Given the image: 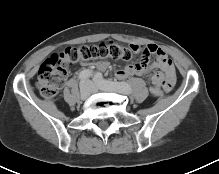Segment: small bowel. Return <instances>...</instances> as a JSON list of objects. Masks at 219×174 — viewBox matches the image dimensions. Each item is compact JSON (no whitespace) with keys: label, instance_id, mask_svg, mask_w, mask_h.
I'll use <instances>...</instances> for the list:
<instances>
[{"label":"small bowel","instance_id":"obj_1","mask_svg":"<svg viewBox=\"0 0 219 174\" xmlns=\"http://www.w3.org/2000/svg\"><path fill=\"white\" fill-rule=\"evenodd\" d=\"M131 47L135 52L142 50V47L137 44H132ZM150 54H155L156 58L153 63V66L162 70V72H157L152 76V81L154 84L162 86L165 91H170L175 84V69L172 64V61L169 59L168 55L160 47L154 44H149L143 48V59L146 60L149 58ZM108 66L107 62H98L96 67L98 69L104 70ZM146 67H143L141 64L128 65L124 69L117 72V77L119 79H125L133 75H142L146 73Z\"/></svg>","mask_w":219,"mask_h":174}]
</instances>
